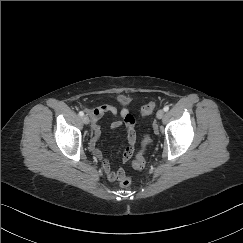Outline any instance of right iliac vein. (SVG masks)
Masks as SVG:
<instances>
[{
  "instance_id": "1",
  "label": "right iliac vein",
  "mask_w": 243,
  "mask_h": 243,
  "mask_svg": "<svg viewBox=\"0 0 243 243\" xmlns=\"http://www.w3.org/2000/svg\"><path fill=\"white\" fill-rule=\"evenodd\" d=\"M82 121H83V123H84V124H86V125H87V124H89L90 119H89V117H88V116H83V117H82Z\"/></svg>"
}]
</instances>
